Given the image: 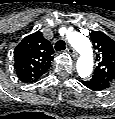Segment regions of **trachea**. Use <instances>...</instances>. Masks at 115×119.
<instances>
[{"mask_svg": "<svg viewBox=\"0 0 115 119\" xmlns=\"http://www.w3.org/2000/svg\"><path fill=\"white\" fill-rule=\"evenodd\" d=\"M66 48V44L64 40H59L55 43V50L56 51H63Z\"/></svg>", "mask_w": 115, "mask_h": 119, "instance_id": "obj_1", "label": "trachea"}]
</instances>
